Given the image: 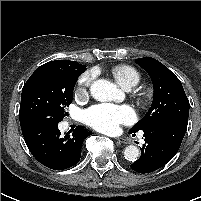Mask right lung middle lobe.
Returning <instances> with one entry per match:
<instances>
[{
	"label": "right lung middle lobe",
	"instance_id": "dd1d6c3e",
	"mask_svg": "<svg viewBox=\"0 0 201 201\" xmlns=\"http://www.w3.org/2000/svg\"><path fill=\"white\" fill-rule=\"evenodd\" d=\"M85 70V65L70 60H55L38 67L22 89L21 128L40 121H62L78 77Z\"/></svg>",
	"mask_w": 201,
	"mask_h": 201
}]
</instances>
